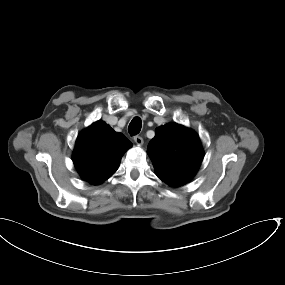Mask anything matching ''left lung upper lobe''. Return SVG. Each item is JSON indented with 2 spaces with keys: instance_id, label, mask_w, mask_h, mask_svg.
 I'll list each match as a JSON object with an SVG mask.
<instances>
[{
  "instance_id": "obj_1",
  "label": "left lung upper lobe",
  "mask_w": 285,
  "mask_h": 285,
  "mask_svg": "<svg viewBox=\"0 0 285 285\" xmlns=\"http://www.w3.org/2000/svg\"><path fill=\"white\" fill-rule=\"evenodd\" d=\"M147 148L157 176L170 186L191 180L204 157L198 135L174 122L158 127Z\"/></svg>"
}]
</instances>
